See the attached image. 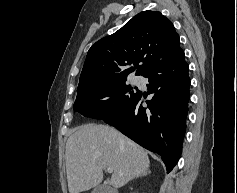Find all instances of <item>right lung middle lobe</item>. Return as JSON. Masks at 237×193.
Listing matches in <instances>:
<instances>
[{"label":"right lung middle lobe","instance_id":"obj_1","mask_svg":"<svg viewBox=\"0 0 237 193\" xmlns=\"http://www.w3.org/2000/svg\"><path fill=\"white\" fill-rule=\"evenodd\" d=\"M126 79L100 83L77 91L74 111L95 119H104L123 110L139 93L125 84Z\"/></svg>","mask_w":237,"mask_h":193}]
</instances>
